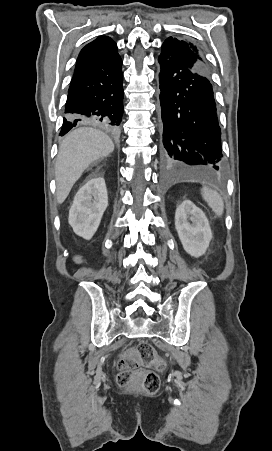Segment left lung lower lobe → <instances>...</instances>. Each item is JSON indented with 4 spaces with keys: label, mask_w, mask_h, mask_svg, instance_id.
<instances>
[{
    "label": "left lung lower lobe",
    "mask_w": 272,
    "mask_h": 451,
    "mask_svg": "<svg viewBox=\"0 0 272 451\" xmlns=\"http://www.w3.org/2000/svg\"><path fill=\"white\" fill-rule=\"evenodd\" d=\"M158 61L163 164L174 169L221 170V130L203 62L171 37L164 41Z\"/></svg>",
    "instance_id": "0a47b994"
}]
</instances>
